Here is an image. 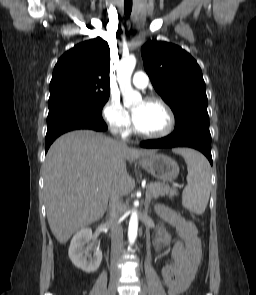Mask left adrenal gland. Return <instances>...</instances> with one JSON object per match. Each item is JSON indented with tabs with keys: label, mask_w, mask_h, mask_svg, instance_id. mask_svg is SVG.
<instances>
[{
	"label": "left adrenal gland",
	"mask_w": 256,
	"mask_h": 295,
	"mask_svg": "<svg viewBox=\"0 0 256 295\" xmlns=\"http://www.w3.org/2000/svg\"><path fill=\"white\" fill-rule=\"evenodd\" d=\"M145 211L150 212L149 211V202H148V200L145 201Z\"/></svg>",
	"instance_id": "left-adrenal-gland-1"
}]
</instances>
